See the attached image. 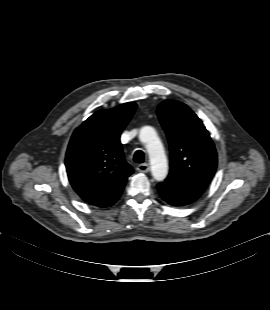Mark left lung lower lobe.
<instances>
[{
  "label": "left lung lower lobe",
  "mask_w": 270,
  "mask_h": 310,
  "mask_svg": "<svg viewBox=\"0 0 270 310\" xmlns=\"http://www.w3.org/2000/svg\"><path fill=\"white\" fill-rule=\"evenodd\" d=\"M157 189L160 196L173 206L191 204L204 192L202 189L182 187L167 181L159 183Z\"/></svg>",
  "instance_id": "left-lung-lower-lobe-1"
}]
</instances>
